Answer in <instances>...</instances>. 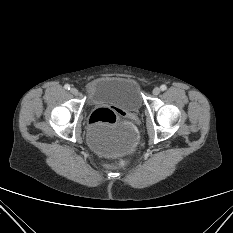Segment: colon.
I'll return each instance as SVG.
<instances>
[{
    "mask_svg": "<svg viewBox=\"0 0 233 233\" xmlns=\"http://www.w3.org/2000/svg\"><path fill=\"white\" fill-rule=\"evenodd\" d=\"M116 122V113L109 108L96 109L89 118L91 125H113ZM120 165H124V162H120Z\"/></svg>",
    "mask_w": 233,
    "mask_h": 233,
    "instance_id": "colon-1",
    "label": "colon"
}]
</instances>
